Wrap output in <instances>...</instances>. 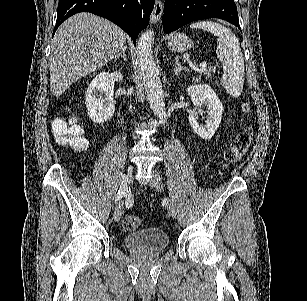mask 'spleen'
<instances>
[{
    "instance_id": "3e777b00",
    "label": "spleen",
    "mask_w": 307,
    "mask_h": 301,
    "mask_svg": "<svg viewBox=\"0 0 307 301\" xmlns=\"http://www.w3.org/2000/svg\"><path fill=\"white\" fill-rule=\"evenodd\" d=\"M190 28H203L209 30L217 38L216 54L221 60V66L224 74L221 78V84L231 96H240L244 84V60L241 46L235 34L230 28L213 22V20H201V22H193Z\"/></svg>"
}]
</instances>
